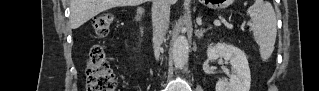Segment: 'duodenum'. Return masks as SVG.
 <instances>
[{
    "label": "duodenum",
    "instance_id": "1",
    "mask_svg": "<svg viewBox=\"0 0 319 91\" xmlns=\"http://www.w3.org/2000/svg\"><path fill=\"white\" fill-rule=\"evenodd\" d=\"M145 22V13L144 10L139 8L135 17V31L139 38H141L143 33V26Z\"/></svg>",
    "mask_w": 319,
    "mask_h": 91
}]
</instances>
